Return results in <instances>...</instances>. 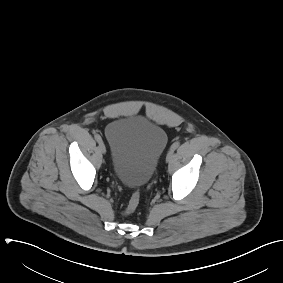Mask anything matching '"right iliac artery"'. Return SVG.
Returning <instances> with one entry per match:
<instances>
[{"label": "right iliac artery", "instance_id": "82829eb1", "mask_svg": "<svg viewBox=\"0 0 283 283\" xmlns=\"http://www.w3.org/2000/svg\"><path fill=\"white\" fill-rule=\"evenodd\" d=\"M95 139H96V141H97L98 143H100V142L102 141V138H101V136H100L99 134H96V135H95Z\"/></svg>", "mask_w": 283, "mask_h": 283}]
</instances>
